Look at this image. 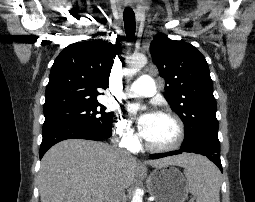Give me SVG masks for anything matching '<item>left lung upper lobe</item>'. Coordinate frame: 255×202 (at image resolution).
Wrapping results in <instances>:
<instances>
[{
  "instance_id": "1",
  "label": "left lung upper lobe",
  "mask_w": 255,
  "mask_h": 202,
  "mask_svg": "<svg viewBox=\"0 0 255 202\" xmlns=\"http://www.w3.org/2000/svg\"><path fill=\"white\" fill-rule=\"evenodd\" d=\"M150 52L165 79V98L185 125L182 146L219 144L213 83L204 56L193 45L161 33Z\"/></svg>"
}]
</instances>
